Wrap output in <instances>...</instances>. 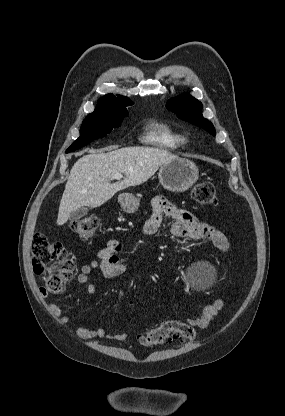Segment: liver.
Wrapping results in <instances>:
<instances>
[{"instance_id":"liver-1","label":"liver","mask_w":285,"mask_h":416,"mask_svg":"<svg viewBox=\"0 0 285 416\" xmlns=\"http://www.w3.org/2000/svg\"><path fill=\"white\" fill-rule=\"evenodd\" d=\"M113 148L118 146H109L107 150ZM84 152L88 156L74 164L67 180L59 206L58 226L66 224L70 214L83 206L99 208L120 190L144 184L160 166L178 158L159 148H121L107 154L103 150ZM114 174H124L125 178L111 184Z\"/></svg>"}]
</instances>
